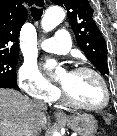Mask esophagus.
Segmentation results:
<instances>
[{
  "mask_svg": "<svg viewBox=\"0 0 117 136\" xmlns=\"http://www.w3.org/2000/svg\"><path fill=\"white\" fill-rule=\"evenodd\" d=\"M36 3L40 4V6H37ZM35 5L38 8H43V7H45L46 2H45V0H35ZM55 116L58 117V118H61V119H66V117H67L66 114L61 110H56Z\"/></svg>",
  "mask_w": 117,
  "mask_h": 136,
  "instance_id": "obj_1",
  "label": "esophagus"
}]
</instances>
